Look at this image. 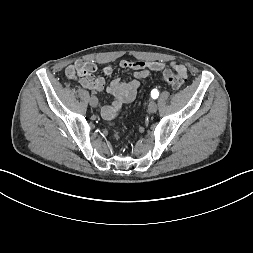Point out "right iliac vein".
Masks as SVG:
<instances>
[{"instance_id":"63e3f726","label":"right iliac vein","mask_w":253,"mask_h":253,"mask_svg":"<svg viewBox=\"0 0 253 253\" xmlns=\"http://www.w3.org/2000/svg\"><path fill=\"white\" fill-rule=\"evenodd\" d=\"M89 103L92 107H96L98 105V99L96 96H92L89 100Z\"/></svg>"}]
</instances>
